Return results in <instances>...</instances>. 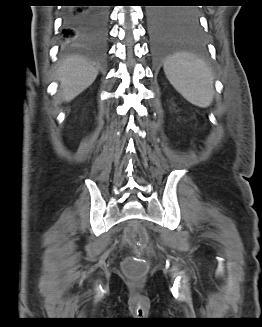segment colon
I'll list each match as a JSON object with an SVG mask.
<instances>
[{
	"label": "colon",
	"instance_id": "5ec220e1",
	"mask_svg": "<svg viewBox=\"0 0 262 327\" xmlns=\"http://www.w3.org/2000/svg\"><path fill=\"white\" fill-rule=\"evenodd\" d=\"M127 238L129 241L134 243L136 256L132 259L126 260L123 268L130 278L138 280L147 270V263L141 257L142 250L147 244V235L141 226L135 225L128 230Z\"/></svg>",
	"mask_w": 262,
	"mask_h": 327
}]
</instances>
